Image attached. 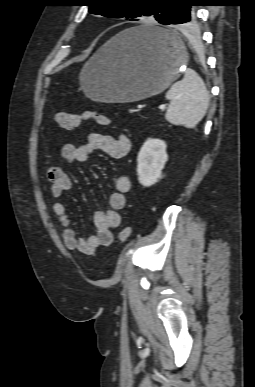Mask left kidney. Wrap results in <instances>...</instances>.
Segmentation results:
<instances>
[{
	"mask_svg": "<svg viewBox=\"0 0 255 387\" xmlns=\"http://www.w3.org/2000/svg\"><path fill=\"white\" fill-rule=\"evenodd\" d=\"M168 160L166 143L160 139H147L137 157V174L140 184L149 187L161 177Z\"/></svg>",
	"mask_w": 255,
	"mask_h": 387,
	"instance_id": "left-kidney-1",
	"label": "left kidney"
}]
</instances>
